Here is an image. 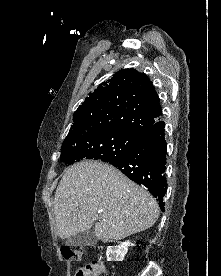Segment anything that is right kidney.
I'll return each instance as SVG.
<instances>
[{"instance_id": "1", "label": "right kidney", "mask_w": 221, "mask_h": 276, "mask_svg": "<svg viewBox=\"0 0 221 276\" xmlns=\"http://www.w3.org/2000/svg\"><path fill=\"white\" fill-rule=\"evenodd\" d=\"M130 245H132L130 241H125L116 246H108L106 251L107 260L123 261Z\"/></svg>"}]
</instances>
